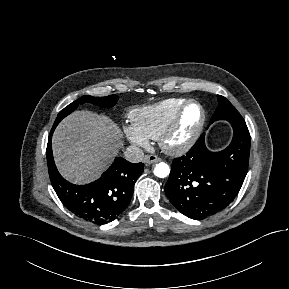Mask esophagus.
<instances>
[{
	"label": "esophagus",
	"mask_w": 289,
	"mask_h": 289,
	"mask_svg": "<svg viewBox=\"0 0 289 289\" xmlns=\"http://www.w3.org/2000/svg\"><path fill=\"white\" fill-rule=\"evenodd\" d=\"M160 160L161 159L156 155H148L145 157V163L147 164L156 163V162H159Z\"/></svg>",
	"instance_id": "esophagus-1"
}]
</instances>
